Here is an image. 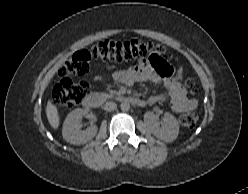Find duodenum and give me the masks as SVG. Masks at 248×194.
<instances>
[{
  "mask_svg": "<svg viewBox=\"0 0 248 194\" xmlns=\"http://www.w3.org/2000/svg\"><path fill=\"white\" fill-rule=\"evenodd\" d=\"M103 97L98 93H90L88 94L84 100L83 105L88 108L98 107L102 103ZM120 100L123 102L131 103L133 105L143 107L146 105V102L133 97L121 96Z\"/></svg>",
  "mask_w": 248,
  "mask_h": 194,
  "instance_id": "obj_1",
  "label": "duodenum"
}]
</instances>
